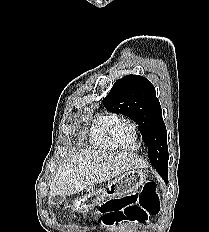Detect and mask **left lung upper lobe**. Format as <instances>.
<instances>
[{
  "label": "left lung upper lobe",
  "mask_w": 209,
  "mask_h": 232,
  "mask_svg": "<svg viewBox=\"0 0 209 232\" xmlns=\"http://www.w3.org/2000/svg\"><path fill=\"white\" fill-rule=\"evenodd\" d=\"M104 106L109 112L128 116L137 122L148 147L150 163L164 180L167 179V130L151 82L140 75L124 76L114 83L104 99Z\"/></svg>",
  "instance_id": "1"
}]
</instances>
